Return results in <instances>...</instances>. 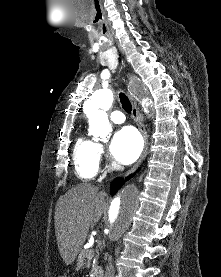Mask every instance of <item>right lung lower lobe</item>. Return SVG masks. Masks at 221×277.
<instances>
[{
	"mask_svg": "<svg viewBox=\"0 0 221 277\" xmlns=\"http://www.w3.org/2000/svg\"><path fill=\"white\" fill-rule=\"evenodd\" d=\"M124 182L123 178L115 179L110 186V193L114 195L121 188Z\"/></svg>",
	"mask_w": 221,
	"mask_h": 277,
	"instance_id": "right-lung-lower-lobe-1",
	"label": "right lung lower lobe"
}]
</instances>
